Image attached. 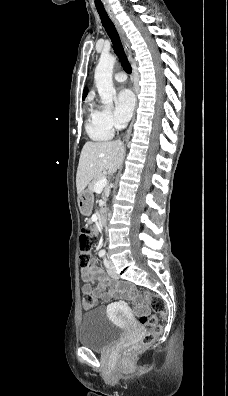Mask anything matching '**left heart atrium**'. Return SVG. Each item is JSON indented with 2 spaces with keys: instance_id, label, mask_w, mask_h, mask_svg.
Returning <instances> with one entry per match:
<instances>
[{
  "instance_id": "39dd6f15",
  "label": "left heart atrium",
  "mask_w": 228,
  "mask_h": 396,
  "mask_svg": "<svg viewBox=\"0 0 228 396\" xmlns=\"http://www.w3.org/2000/svg\"><path fill=\"white\" fill-rule=\"evenodd\" d=\"M135 106V98L129 89H121L115 100V112L117 118L121 122H126L130 119Z\"/></svg>"
}]
</instances>
